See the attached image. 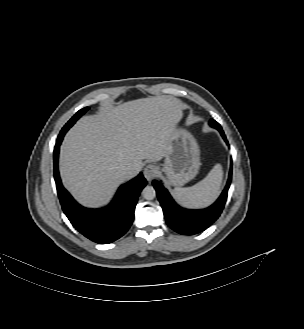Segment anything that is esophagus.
<instances>
[{
    "instance_id": "esophagus-1",
    "label": "esophagus",
    "mask_w": 304,
    "mask_h": 329,
    "mask_svg": "<svg viewBox=\"0 0 304 329\" xmlns=\"http://www.w3.org/2000/svg\"><path fill=\"white\" fill-rule=\"evenodd\" d=\"M157 173H158L157 168L152 164H148L143 171L144 177L149 182L156 177Z\"/></svg>"
}]
</instances>
